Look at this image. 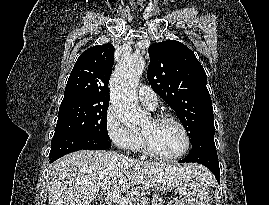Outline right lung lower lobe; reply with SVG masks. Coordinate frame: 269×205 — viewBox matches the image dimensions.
<instances>
[{
	"label": "right lung lower lobe",
	"instance_id": "1",
	"mask_svg": "<svg viewBox=\"0 0 269 205\" xmlns=\"http://www.w3.org/2000/svg\"><path fill=\"white\" fill-rule=\"evenodd\" d=\"M110 147L111 144L109 140H104L91 135L79 133L56 135L51 141L49 159L50 162H53L56 159L74 151L83 149L106 150Z\"/></svg>",
	"mask_w": 269,
	"mask_h": 205
}]
</instances>
